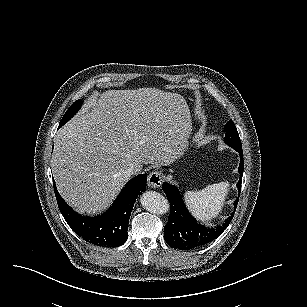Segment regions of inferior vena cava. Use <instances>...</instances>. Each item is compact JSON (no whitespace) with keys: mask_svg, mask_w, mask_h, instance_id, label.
Returning <instances> with one entry per match:
<instances>
[{"mask_svg":"<svg viewBox=\"0 0 307 307\" xmlns=\"http://www.w3.org/2000/svg\"><path fill=\"white\" fill-rule=\"evenodd\" d=\"M138 173H139V170L135 167H130L126 170V176L128 178H130L131 176L136 175Z\"/></svg>","mask_w":307,"mask_h":307,"instance_id":"obj_1","label":"inferior vena cava"}]
</instances>
